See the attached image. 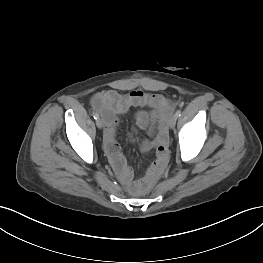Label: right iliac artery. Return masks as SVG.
Instances as JSON below:
<instances>
[{
    "label": "right iliac artery",
    "instance_id": "1",
    "mask_svg": "<svg viewBox=\"0 0 263 263\" xmlns=\"http://www.w3.org/2000/svg\"><path fill=\"white\" fill-rule=\"evenodd\" d=\"M93 117H94V119H99V115L97 114V113H93Z\"/></svg>",
    "mask_w": 263,
    "mask_h": 263
}]
</instances>
